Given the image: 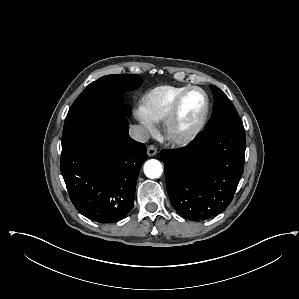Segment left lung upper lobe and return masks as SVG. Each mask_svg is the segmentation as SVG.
Segmentation results:
<instances>
[{"instance_id":"obj_1","label":"left lung upper lobe","mask_w":299,"mask_h":299,"mask_svg":"<svg viewBox=\"0 0 299 299\" xmlns=\"http://www.w3.org/2000/svg\"><path fill=\"white\" fill-rule=\"evenodd\" d=\"M214 95L213 114L205 129L216 127H236L243 129L240 117L225 93L214 85H210Z\"/></svg>"}]
</instances>
